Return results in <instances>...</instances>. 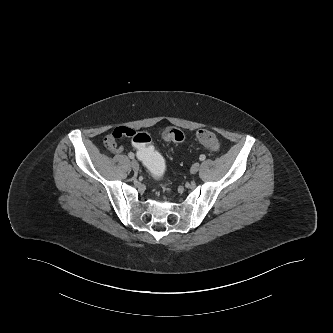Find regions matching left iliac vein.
<instances>
[{"label":"left iliac vein","mask_w":333,"mask_h":333,"mask_svg":"<svg viewBox=\"0 0 333 333\" xmlns=\"http://www.w3.org/2000/svg\"><path fill=\"white\" fill-rule=\"evenodd\" d=\"M199 169H200V164L199 163H195V164L192 165L190 171H191L192 174H195V173H197L199 171Z\"/></svg>","instance_id":"1"}]
</instances>
